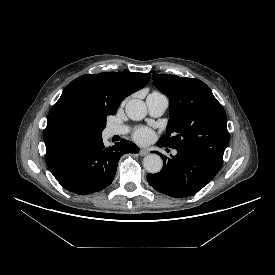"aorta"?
Listing matches in <instances>:
<instances>
[{"label":"aorta","mask_w":275,"mask_h":275,"mask_svg":"<svg viewBox=\"0 0 275 275\" xmlns=\"http://www.w3.org/2000/svg\"><path fill=\"white\" fill-rule=\"evenodd\" d=\"M125 111L127 116L139 121L147 115V107L144 101L139 99H131L127 102ZM143 166L148 173L155 174L161 171L163 167V160L157 154H149L143 159Z\"/></svg>","instance_id":"aorta-1"}]
</instances>
